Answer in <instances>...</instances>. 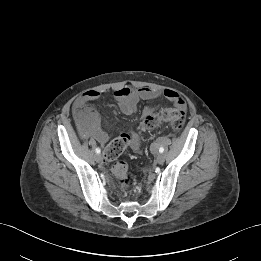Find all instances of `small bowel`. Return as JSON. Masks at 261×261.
<instances>
[{"label": "small bowel", "instance_id": "small-bowel-1", "mask_svg": "<svg viewBox=\"0 0 261 261\" xmlns=\"http://www.w3.org/2000/svg\"><path fill=\"white\" fill-rule=\"evenodd\" d=\"M100 97V93L95 90L87 91L75 102V108L80 114L81 130L84 136L91 137L98 142L105 144L111 138V133L106 129L105 121L97 110H87L86 106L90 101ZM164 97L171 101L177 109L185 108V101L181 95L171 89L157 90L153 88H134L132 86H123L116 90L115 99L123 114L131 115L136 111L137 104L141 100H155ZM154 111V107L147 106L144 114ZM131 148L139 150L141 146V137L137 133H131Z\"/></svg>", "mask_w": 261, "mask_h": 261}]
</instances>
